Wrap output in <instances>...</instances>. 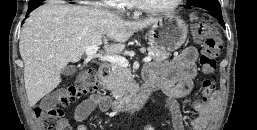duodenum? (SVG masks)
<instances>
[{"label": "duodenum", "mask_w": 257, "mask_h": 130, "mask_svg": "<svg viewBox=\"0 0 257 130\" xmlns=\"http://www.w3.org/2000/svg\"><path fill=\"white\" fill-rule=\"evenodd\" d=\"M110 69L107 65H102L98 70V75L101 80V86L104 88L105 82L109 76ZM158 89L157 82L151 79H145L144 85L140 88L138 93L134 96L112 103L113 111L117 113L123 112H135L141 109L145 103L148 101L150 95Z\"/></svg>", "instance_id": "410a0bca"}]
</instances>
